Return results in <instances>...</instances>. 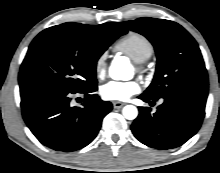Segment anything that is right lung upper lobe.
<instances>
[{"mask_svg": "<svg viewBox=\"0 0 220 173\" xmlns=\"http://www.w3.org/2000/svg\"><path fill=\"white\" fill-rule=\"evenodd\" d=\"M76 29H79L82 33L92 37L95 41V44H99L104 40H110L114 42V40H116L119 36L127 33V30L123 28L119 23L112 22L96 26L79 23H64L45 29L42 32H63ZM104 51L105 50L103 49H99L101 55Z\"/></svg>", "mask_w": 220, "mask_h": 173, "instance_id": "1", "label": "right lung upper lobe"}]
</instances>
